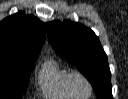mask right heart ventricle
I'll use <instances>...</instances> for the list:
<instances>
[{"mask_svg":"<svg viewBox=\"0 0 128 99\" xmlns=\"http://www.w3.org/2000/svg\"><path fill=\"white\" fill-rule=\"evenodd\" d=\"M70 70L55 59L47 60L39 73L40 92L47 99H74L68 89L67 78Z\"/></svg>","mask_w":128,"mask_h":99,"instance_id":"right-heart-ventricle-1","label":"right heart ventricle"}]
</instances>
